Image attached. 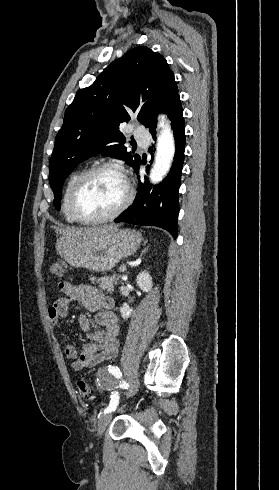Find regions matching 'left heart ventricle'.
I'll return each instance as SVG.
<instances>
[{
	"instance_id": "b2bd125f",
	"label": "left heart ventricle",
	"mask_w": 279,
	"mask_h": 490,
	"mask_svg": "<svg viewBox=\"0 0 279 490\" xmlns=\"http://www.w3.org/2000/svg\"><path fill=\"white\" fill-rule=\"evenodd\" d=\"M125 197L121 177L114 172H101L87 182L79 198V210L85 218H95L114 211Z\"/></svg>"
}]
</instances>
